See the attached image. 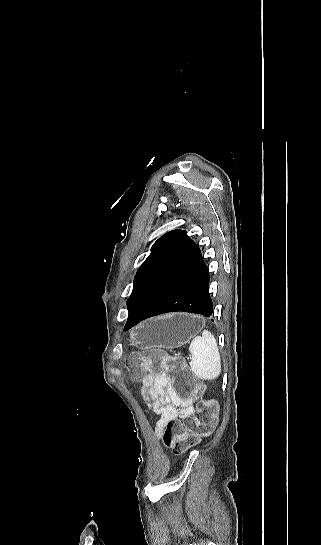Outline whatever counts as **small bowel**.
Masks as SVG:
<instances>
[{"label":"small bowel","instance_id":"obj_1","mask_svg":"<svg viewBox=\"0 0 321 545\" xmlns=\"http://www.w3.org/2000/svg\"><path fill=\"white\" fill-rule=\"evenodd\" d=\"M141 394L150 409L160 416L155 428L159 437L168 421L185 419L193 413V398H181L167 378H144Z\"/></svg>","mask_w":321,"mask_h":545}]
</instances>
